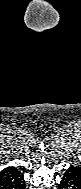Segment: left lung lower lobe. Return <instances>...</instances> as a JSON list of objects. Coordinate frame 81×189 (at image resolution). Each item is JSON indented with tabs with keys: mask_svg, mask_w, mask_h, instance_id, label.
I'll return each mask as SVG.
<instances>
[{
	"mask_svg": "<svg viewBox=\"0 0 81 189\" xmlns=\"http://www.w3.org/2000/svg\"><path fill=\"white\" fill-rule=\"evenodd\" d=\"M59 189H81V166L72 164L65 171Z\"/></svg>",
	"mask_w": 81,
	"mask_h": 189,
	"instance_id": "obj_1",
	"label": "left lung lower lobe"
}]
</instances>
